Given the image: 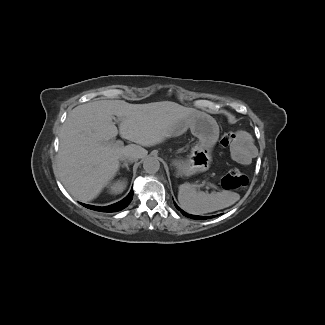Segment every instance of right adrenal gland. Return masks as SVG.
<instances>
[{
	"instance_id": "right-adrenal-gland-1",
	"label": "right adrenal gland",
	"mask_w": 325,
	"mask_h": 325,
	"mask_svg": "<svg viewBox=\"0 0 325 325\" xmlns=\"http://www.w3.org/2000/svg\"><path fill=\"white\" fill-rule=\"evenodd\" d=\"M122 168L126 167L127 170H129L128 163H124L121 165Z\"/></svg>"
}]
</instances>
